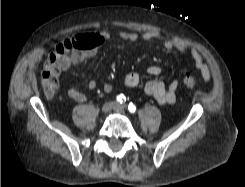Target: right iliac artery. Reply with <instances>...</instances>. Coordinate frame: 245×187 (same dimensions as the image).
<instances>
[{
  "instance_id": "82829eb1",
  "label": "right iliac artery",
  "mask_w": 245,
  "mask_h": 187,
  "mask_svg": "<svg viewBox=\"0 0 245 187\" xmlns=\"http://www.w3.org/2000/svg\"><path fill=\"white\" fill-rule=\"evenodd\" d=\"M116 100L119 103H123L124 101H126V97L123 94H120L116 97Z\"/></svg>"
}]
</instances>
